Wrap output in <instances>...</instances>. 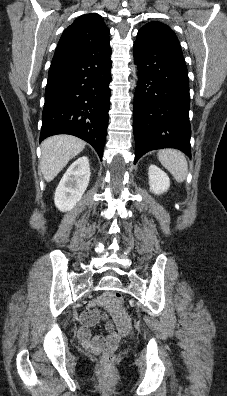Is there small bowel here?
Wrapping results in <instances>:
<instances>
[{"mask_svg": "<svg viewBox=\"0 0 227 396\" xmlns=\"http://www.w3.org/2000/svg\"><path fill=\"white\" fill-rule=\"evenodd\" d=\"M101 319L107 321V337L101 335L91 337L90 327ZM81 321L82 326L78 331L79 339L85 346L93 349L115 345L121 337L132 331L129 316L121 306L115 303L114 295L110 292L102 294L91 302L89 309L82 313Z\"/></svg>", "mask_w": 227, "mask_h": 396, "instance_id": "1", "label": "small bowel"}]
</instances>
